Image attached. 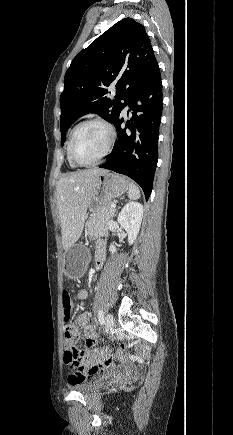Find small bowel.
<instances>
[{
	"label": "small bowel",
	"mask_w": 233,
	"mask_h": 435,
	"mask_svg": "<svg viewBox=\"0 0 233 435\" xmlns=\"http://www.w3.org/2000/svg\"><path fill=\"white\" fill-rule=\"evenodd\" d=\"M106 258L105 246L100 244L94 255V266L95 269H100ZM88 297V294L85 290H81L78 292V298L84 300ZM89 318V314L85 313L78 316L75 319V322L82 326L83 328V336L86 342V347L81 349L83 353V358L81 363L78 366L68 367L69 380L78 381L82 379H94L95 376L107 375L112 371L130 374L136 372V369L130 365L127 361L124 364H116L112 361L111 358L105 356L102 362V366L98 372H89L87 371V367L93 358V354L96 352L94 347L98 344L100 338L97 330L87 324ZM67 345V344H66ZM68 346V345H67Z\"/></svg>",
	"instance_id": "1"
}]
</instances>
